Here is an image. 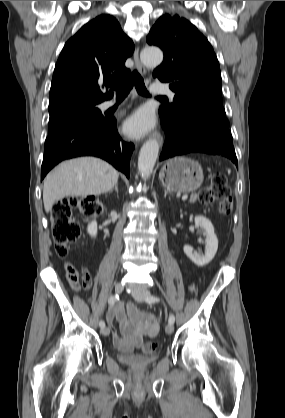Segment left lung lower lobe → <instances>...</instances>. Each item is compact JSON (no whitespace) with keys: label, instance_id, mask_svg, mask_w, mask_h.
<instances>
[{"label":"left lung lower lobe","instance_id":"0a47b994","mask_svg":"<svg viewBox=\"0 0 285 418\" xmlns=\"http://www.w3.org/2000/svg\"><path fill=\"white\" fill-rule=\"evenodd\" d=\"M166 133L159 160L190 152L223 155L238 166L229 122L226 117L209 112H196L176 124L161 119Z\"/></svg>","mask_w":285,"mask_h":418}]
</instances>
